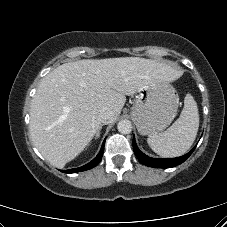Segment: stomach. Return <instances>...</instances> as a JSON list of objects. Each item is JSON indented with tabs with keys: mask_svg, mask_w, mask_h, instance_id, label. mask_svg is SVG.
Masks as SVG:
<instances>
[{
	"mask_svg": "<svg viewBox=\"0 0 227 227\" xmlns=\"http://www.w3.org/2000/svg\"><path fill=\"white\" fill-rule=\"evenodd\" d=\"M178 104L173 86L166 81H155L138 91L131 117L141 135H154L171 124Z\"/></svg>",
	"mask_w": 227,
	"mask_h": 227,
	"instance_id": "obj_1",
	"label": "stomach"
}]
</instances>
